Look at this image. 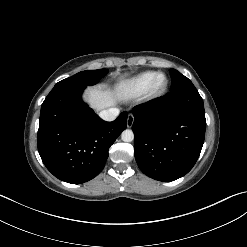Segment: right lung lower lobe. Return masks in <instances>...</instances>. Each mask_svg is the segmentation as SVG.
<instances>
[{"instance_id":"right-lung-lower-lobe-1","label":"right lung lower lobe","mask_w":247,"mask_h":247,"mask_svg":"<svg viewBox=\"0 0 247 247\" xmlns=\"http://www.w3.org/2000/svg\"><path fill=\"white\" fill-rule=\"evenodd\" d=\"M84 89L53 88L40 113V157L55 177L72 184L87 182L102 171L110 146L127 126L126 112L113 122L100 119L83 103Z\"/></svg>"}]
</instances>
